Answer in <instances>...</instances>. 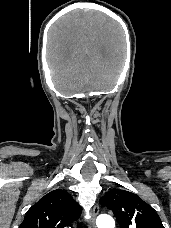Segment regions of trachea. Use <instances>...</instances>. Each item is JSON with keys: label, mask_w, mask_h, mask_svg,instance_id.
Segmentation results:
<instances>
[{"label": "trachea", "mask_w": 171, "mask_h": 228, "mask_svg": "<svg viewBox=\"0 0 171 228\" xmlns=\"http://www.w3.org/2000/svg\"><path fill=\"white\" fill-rule=\"evenodd\" d=\"M77 228H83V226L80 224H77Z\"/></svg>", "instance_id": "1"}]
</instances>
